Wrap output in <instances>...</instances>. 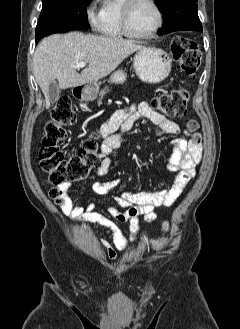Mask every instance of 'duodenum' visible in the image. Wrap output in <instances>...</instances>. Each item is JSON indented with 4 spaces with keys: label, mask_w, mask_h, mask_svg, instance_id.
Segmentation results:
<instances>
[{
    "label": "duodenum",
    "mask_w": 240,
    "mask_h": 329,
    "mask_svg": "<svg viewBox=\"0 0 240 329\" xmlns=\"http://www.w3.org/2000/svg\"><path fill=\"white\" fill-rule=\"evenodd\" d=\"M75 90H76V96L78 98H81V99L84 98L83 89L81 87H76Z\"/></svg>",
    "instance_id": "1"
}]
</instances>
